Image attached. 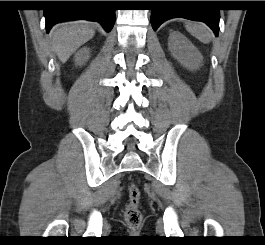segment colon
I'll return each instance as SVG.
<instances>
[{
    "instance_id": "1",
    "label": "colon",
    "mask_w": 265,
    "mask_h": 245,
    "mask_svg": "<svg viewBox=\"0 0 265 245\" xmlns=\"http://www.w3.org/2000/svg\"><path fill=\"white\" fill-rule=\"evenodd\" d=\"M140 190L136 185L129 187V203L124 210V217L128 225L133 229L136 234L138 227L142 223V213L139 208L140 203Z\"/></svg>"
}]
</instances>
